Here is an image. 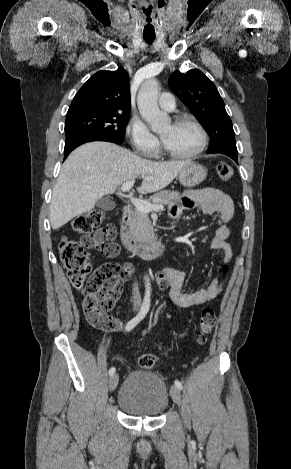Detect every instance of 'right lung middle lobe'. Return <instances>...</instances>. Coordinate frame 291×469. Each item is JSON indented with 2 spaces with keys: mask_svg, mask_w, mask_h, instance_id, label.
<instances>
[{
  "mask_svg": "<svg viewBox=\"0 0 291 469\" xmlns=\"http://www.w3.org/2000/svg\"><path fill=\"white\" fill-rule=\"evenodd\" d=\"M129 113L83 110L67 113L66 138L77 135H104L124 138Z\"/></svg>",
  "mask_w": 291,
  "mask_h": 469,
  "instance_id": "1",
  "label": "right lung middle lobe"
}]
</instances>
